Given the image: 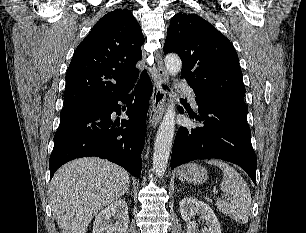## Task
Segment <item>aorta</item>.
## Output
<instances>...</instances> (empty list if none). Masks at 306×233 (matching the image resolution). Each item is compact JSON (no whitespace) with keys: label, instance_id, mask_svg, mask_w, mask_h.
<instances>
[{"label":"aorta","instance_id":"762f6f07","mask_svg":"<svg viewBox=\"0 0 306 233\" xmlns=\"http://www.w3.org/2000/svg\"><path fill=\"white\" fill-rule=\"evenodd\" d=\"M165 67L170 75L175 76L181 71L182 61L179 56L169 54L165 58ZM175 116L172 101L160 123L154 144L153 171L159 177L163 176L168 164L175 132Z\"/></svg>","mask_w":306,"mask_h":233}]
</instances>
